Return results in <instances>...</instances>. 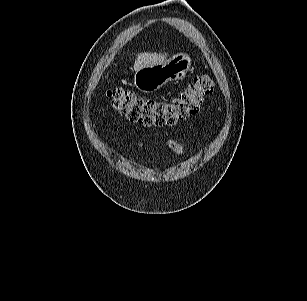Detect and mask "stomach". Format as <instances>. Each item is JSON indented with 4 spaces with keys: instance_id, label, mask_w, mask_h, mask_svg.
Segmentation results:
<instances>
[{
    "instance_id": "obj_1",
    "label": "stomach",
    "mask_w": 307,
    "mask_h": 301,
    "mask_svg": "<svg viewBox=\"0 0 307 301\" xmlns=\"http://www.w3.org/2000/svg\"><path fill=\"white\" fill-rule=\"evenodd\" d=\"M191 64L192 59L188 54L178 53L160 64L146 66L136 71L134 86L144 93L157 91L168 81L184 78Z\"/></svg>"
}]
</instances>
